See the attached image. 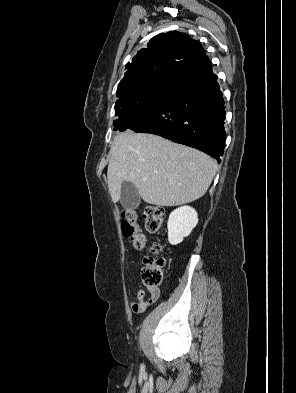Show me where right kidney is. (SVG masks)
I'll return each mask as SVG.
<instances>
[{
  "label": "right kidney",
  "mask_w": 296,
  "mask_h": 393,
  "mask_svg": "<svg viewBox=\"0 0 296 393\" xmlns=\"http://www.w3.org/2000/svg\"><path fill=\"white\" fill-rule=\"evenodd\" d=\"M198 223V215L194 208L190 206H182L175 209L169 215L168 241L171 245H177L183 239L190 235L193 228Z\"/></svg>",
  "instance_id": "1"
}]
</instances>
